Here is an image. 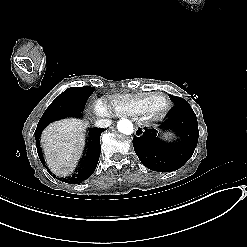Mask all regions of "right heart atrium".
I'll return each mask as SVG.
<instances>
[{
    "label": "right heart atrium",
    "instance_id": "d8ad5b80",
    "mask_svg": "<svg viewBox=\"0 0 247 247\" xmlns=\"http://www.w3.org/2000/svg\"><path fill=\"white\" fill-rule=\"evenodd\" d=\"M95 110L98 114H104V111H103V108H102V105L101 103H97L96 106H95Z\"/></svg>",
    "mask_w": 247,
    "mask_h": 247
}]
</instances>
